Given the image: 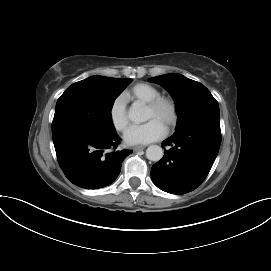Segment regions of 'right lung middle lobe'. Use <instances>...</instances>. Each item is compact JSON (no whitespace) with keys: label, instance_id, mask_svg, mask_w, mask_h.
Segmentation results:
<instances>
[{"label":"right lung middle lobe","instance_id":"obj_1","mask_svg":"<svg viewBox=\"0 0 271 271\" xmlns=\"http://www.w3.org/2000/svg\"><path fill=\"white\" fill-rule=\"evenodd\" d=\"M132 79L93 76L76 82L60 96L52 122V137L88 126L114 130L111 109Z\"/></svg>","mask_w":271,"mask_h":271}]
</instances>
